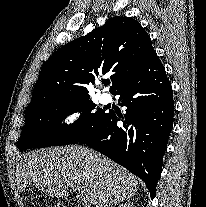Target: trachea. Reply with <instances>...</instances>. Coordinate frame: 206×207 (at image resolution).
<instances>
[{
	"mask_svg": "<svg viewBox=\"0 0 206 207\" xmlns=\"http://www.w3.org/2000/svg\"><path fill=\"white\" fill-rule=\"evenodd\" d=\"M109 84H110V82H108V81H107V82H105V85H109Z\"/></svg>",
	"mask_w": 206,
	"mask_h": 207,
	"instance_id": "obj_1",
	"label": "trachea"
}]
</instances>
